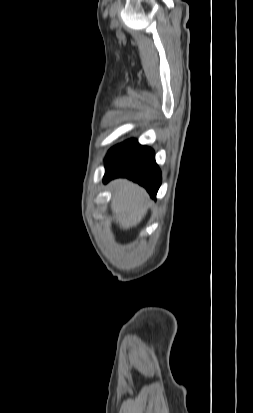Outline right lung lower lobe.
Returning <instances> with one entry per match:
<instances>
[{
  "label": "right lung lower lobe",
  "instance_id": "1",
  "mask_svg": "<svg viewBox=\"0 0 253 413\" xmlns=\"http://www.w3.org/2000/svg\"><path fill=\"white\" fill-rule=\"evenodd\" d=\"M105 169V183L116 177H126L145 187L152 198L161 185V171L154 151L137 142L106 160Z\"/></svg>",
  "mask_w": 253,
  "mask_h": 413
}]
</instances>
